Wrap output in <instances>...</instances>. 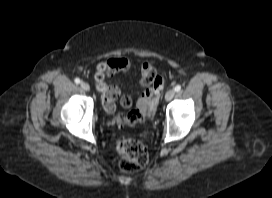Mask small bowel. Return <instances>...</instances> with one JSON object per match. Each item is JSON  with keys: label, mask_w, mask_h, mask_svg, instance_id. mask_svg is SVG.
Returning <instances> with one entry per match:
<instances>
[{"label": "small bowel", "mask_w": 272, "mask_h": 198, "mask_svg": "<svg viewBox=\"0 0 272 198\" xmlns=\"http://www.w3.org/2000/svg\"><path fill=\"white\" fill-rule=\"evenodd\" d=\"M111 67V73H124L130 68V63L128 60L123 58L112 59L108 63ZM137 70L141 77V85L145 87L139 96V102H147L148 104L154 103L155 96L160 92L163 87V81L158 77L153 69V67L148 62H141L137 66ZM156 79L149 86H145L143 82L147 79ZM160 81V82H159ZM120 97V89L117 86H111L110 90L103 94V105L108 113H112L115 110L116 101ZM120 103L123 107L129 108L132 106L133 97L131 94H126L120 97Z\"/></svg>", "instance_id": "c3829d8e"}]
</instances>
